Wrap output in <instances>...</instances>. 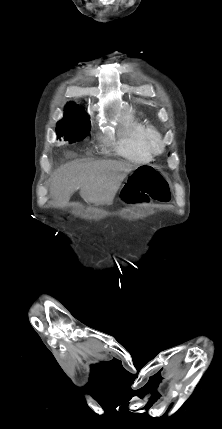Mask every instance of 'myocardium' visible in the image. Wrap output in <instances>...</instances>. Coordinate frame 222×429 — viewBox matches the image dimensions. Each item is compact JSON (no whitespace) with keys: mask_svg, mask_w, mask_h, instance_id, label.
<instances>
[{"mask_svg":"<svg viewBox=\"0 0 222 429\" xmlns=\"http://www.w3.org/2000/svg\"><path fill=\"white\" fill-rule=\"evenodd\" d=\"M144 146L151 156H158L165 151V142L161 132L153 127L148 128L144 137Z\"/></svg>","mask_w":222,"mask_h":429,"instance_id":"obj_1","label":"myocardium"}]
</instances>
